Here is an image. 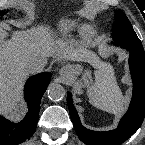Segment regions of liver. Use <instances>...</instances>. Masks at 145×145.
<instances>
[{"label":"liver","mask_w":145,"mask_h":145,"mask_svg":"<svg viewBox=\"0 0 145 145\" xmlns=\"http://www.w3.org/2000/svg\"><path fill=\"white\" fill-rule=\"evenodd\" d=\"M73 41H53L47 26L27 31H15L10 40L0 42V113L13 115L22 97L23 84L28 76L25 66L42 57H58L85 61L98 68L97 76L111 68L84 48H74Z\"/></svg>","instance_id":"6515ba94"}]
</instances>
